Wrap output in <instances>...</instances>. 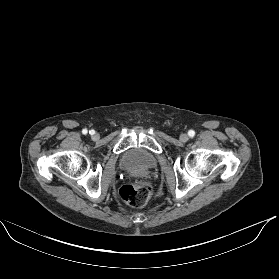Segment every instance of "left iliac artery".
Instances as JSON below:
<instances>
[{"instance_id":"44dca946","label":"left iliac artery","mask_w":279,"mask_h":279,"mask_svg":"<svg viewBox=\"0 0 279 279\" xmlns=\"http://www.w3.org/2000/svg\"><path fill=\"white\" fill-rule=\"evenodd\" d=\"M188 135H189V137H194L195 131L194 130H189Z\"/></svg>"}]
</instances>
